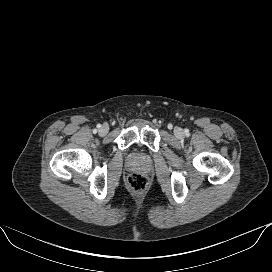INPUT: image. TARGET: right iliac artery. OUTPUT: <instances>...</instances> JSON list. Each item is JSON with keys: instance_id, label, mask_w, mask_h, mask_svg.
I'll return each mask as SVG.
<instances>
[{"instance_id": "right-iliac-artery-1", "label": "right iliac artery", "mask_w": 272, "mask_h": 272, "mask_svg": "<svg viewBox=\"0 0 272 272\" xmlns=\"http://www.w3.org/2000/svg\"><path fill=\"white\" fill-rule=\"evenodd\" d=\"M97 127H98V128H100V127H101V125H100V124H98V125H97Z\"/></svg>"}]
</instances>
